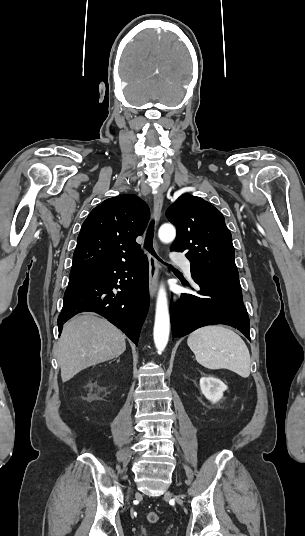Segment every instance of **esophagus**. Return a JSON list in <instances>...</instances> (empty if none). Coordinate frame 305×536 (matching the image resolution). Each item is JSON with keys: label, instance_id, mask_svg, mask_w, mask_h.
I'll return each instance as SVG.
<instances>
[{"label": "esophagus", "instance_id": "esophagus-1", "mask_svg": "<svg viewBox=\"0 0 305 536\" xmlns=\"http://www.w3.org/2000/svg\"><path fill=\"white\" fill-rule=\"evenodd\" d=\"M164 196L163 190L158 189L154 195V215L156 221L159 220L162 206H163ZM156 248H158L157 243H155ZM148 262H149V293L151 298H154L158 285V261L150 253H148Z\"/></svg>", "mask_w": 305, "mask_h": 536}]
</instances>
